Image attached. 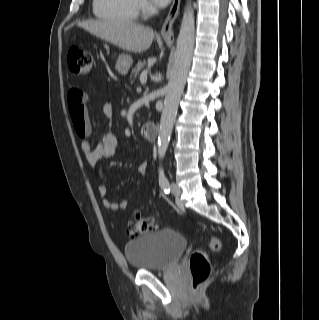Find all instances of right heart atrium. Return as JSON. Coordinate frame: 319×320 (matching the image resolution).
I'll list each match as a JSON object with an SVG mask.
<instances>
[{"label":"right heart atrium","instance_id":"obj_1","mask_svg":"<svg viewBox=\"0 0 319 320\" xmlns=\"http://www.w3.org/2000/svg\"><path fill=\"white\" fill-rule=\"evenodd\" d=\"M137 3H138V8L142 12H148L151 10V6L146 0H137Z\"/></svg>","mask_w":319,"mask_h":320}]
</instances>
